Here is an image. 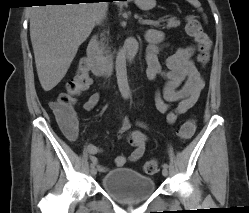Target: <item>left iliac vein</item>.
I'll return each mask as SVG.
<instances>
[{
  "label": "left iliac vein",
  "mask_w": 249,
  "mask_h": 213,
  "mask_svg": "<svg viewBox=\"0 0 249 213\" xmlns=\"http://www.w3.org/2000/svg\"><path fill=\"white\" fill-rule=\"evenodd\" d=\"M162 175L165 177L168 176V169L167 168H163Z\"/></svg>",
  "instance_id": "obj_1"
}]
</instances>
